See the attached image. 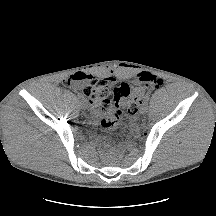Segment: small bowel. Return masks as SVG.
Returning <instances> with one entry per match:
<instances>
[{"label":"small bowel","mask_w":216,"mask_h":216,"mask_svg":"<svg viewBox=\"0 0 216 216\" xmlns=\"http://www.w3.org/2000/svg\"><path fill=\"white\" fill-rule=\"evenodd\" d=\"M85 78H86V75L84 73H82V72H76V73H74V74H72L70 76V78L68 79V81H71L73 83H77V82L83 81ZM111 79H113V78H111ZM121 85L128 86L127 84H121Z\"/></svg>","instance_id":"1"}]
</instances>
